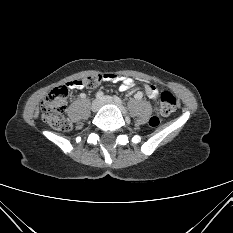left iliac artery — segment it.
Returning <instances> with one entry per match:
<instances>
[{"instance_id":"left-iliac-artery-1","label":"left iliac artery","mask_w":233,"mask_h":233,"mask_svg":"<svg viewBox=\"0 0 233 233\" xmlns=\"http://www.w3.org/2000/svg\"><path fill=\"white\" fill-rule=\"evenodd\" d=\"M114 100H115L116 103H118L120 105L124 104V102L119 97H117V96H114Z\"/></svg>"}]
</instances>
